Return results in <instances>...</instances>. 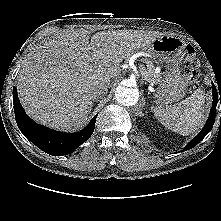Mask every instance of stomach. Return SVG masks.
Returning <instances> with one entry per match:
<instances>
[{"mask_svg": "<svg viewBox=\"0 0 221 221\" xmlns=\"http://www.w3.org/2000/svg\"><path fill=\"white\" fill-rule=\"evenodd\" d=\"M186 46V42L179 37L161 35L148 47V53L158 62L165 64L166 68L155 94L158 103L168 104L185 96L187 83L181 74L180 65Z\"/></svg>", "mask_w": 221, "mask_h": 221, "instance_id": "1", "label": "stomach"}]
</instances>
